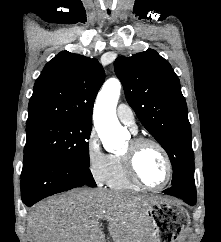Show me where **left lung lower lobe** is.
Here are the masks:
<instances>
[{"label": "left lung lower lobe", "mask_w": 221, "mask_h": 242, "mask_svg": "<svg viewBox=\"0 0 221 242\" xmlns=\"http://www.w3.org/2000/svg\"><path fill=\"white\" fill-rule=\"evenodd\" d=\"M165 194L181 198L189 205L196 203V188L194 177H189L181 182L172 185L171 188L164 191Z\"/></svg>", "instance_id": "0a47b994"}]
</instances>
